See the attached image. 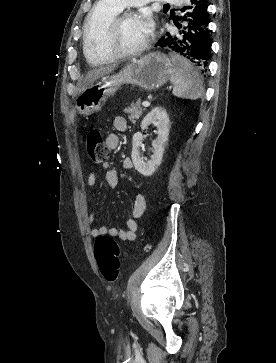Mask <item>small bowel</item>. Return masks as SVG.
<instances>
[{"label":"small bowel","instance_id":"c3829d8e","mask_svg":"<svg viewBox=\"0 0 276 363\" xmlns=\"http://www.w3.org/2000/svg\"><path fill=\"white\" fill-rule=\"evenodd\" d=\"M112 125L117 132L124 131L127 127V122L122 116H115L112 119ZM120 139L117 133H111L106 137V144L110 149H116L119 145ZM123 167L127 170L133 169V162L130 158H125L123 161ZM101 170L105 171L104 179L110 188H116L119 184V176L116 170L110 169L107 163H103L100 166ZM97 176L95 172L89 174L87 178V184L90 188L96 185ZM146 207V200L143 194L137 193L135 196L134 204L131 210V217L126 222V228L118 230L110 227H91L90 235L97 237L100 235H111L118 238L123 242H133L137 238L139 230V219L142 216ZM94 222V214L90 213L88 216V223L92 225Z\"/></svg>","mask_w":276,"mask_h":363}]
</instances>
